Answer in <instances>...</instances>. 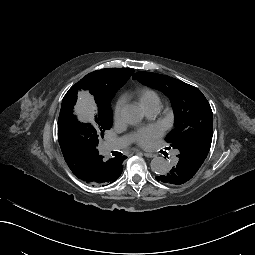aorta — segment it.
I'll use <instances>...</instances> for the list:
<instances>
[{
    "label": "aorta",
    "mask_w": 255,
    "mask_h": 255,
    "mask_svg": "<svg viewBox=\"0 0 255 255\" xmlns=\"http://www.w3.org/2000/svg\"><path fill=\"white\" fill-rule=\"evenodd\" d=\"M121 115L123 120L131 125L139 123L143 119L142 110L136 105H126L122 111ZM151 170L158 174L163 175L169 171V164L163 157H155L150 163Z\"/></svg>",
    "instance_id": "obj_1"
}]
</instances>
